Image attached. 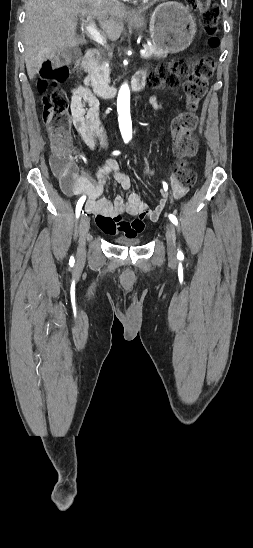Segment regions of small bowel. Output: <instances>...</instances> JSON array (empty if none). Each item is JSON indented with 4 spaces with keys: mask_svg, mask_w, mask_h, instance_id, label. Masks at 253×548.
<instances>
[{
    "mask_svg": "<svg viewBox=\"0 0 253 548\" xmlns=\"http://www.w3.org/2000/svg\"><path fill=\"white\" fill-rule=\"evenodd\" d=\"M138 75L144 76L142 72ZM148 101L154 109L159 107L155 97H150ZM71 114L75 129L90 150H95L97 144L105 150L108 149L107 136L99 116L98 99L89 89L79 84L75 85L71 93ZM111 182L125 191L126 196L118 195L113 200L106 198L104 192ZM60 185L67 195L87 196L86 211L95 215L96 224L104 233L111 235L141 234L145 229L146 216H149L151 220H157L168 203V199L163 198L155 209H148L140 196L130 191L129 176L119 170L117 161L110 156L107 157L103 166L92 172L79 170L75 166L72 177L66 182L60 180ZM169 191L173 199H180L188 192V187L182 185L172 175ZM123 214L135 216V219L132 222H126L121 219Z\"/></svg>",
    "mask_w": 253,
    "mask_h": 548,
    "instance_id": "obj_1",
    "label": "small bowel"
}]
</instances>
